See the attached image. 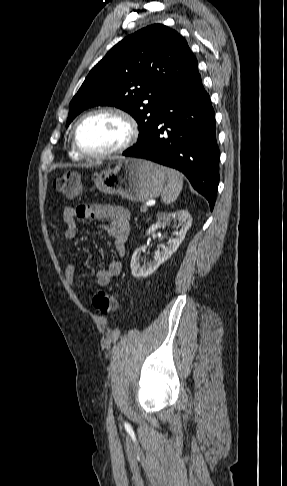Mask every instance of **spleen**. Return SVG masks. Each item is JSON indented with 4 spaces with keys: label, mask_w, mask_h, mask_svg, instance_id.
<instances>
[{
    "label": "spleen",
    "mask_w": 287,
    "mask_h": 486,
    "mask_svg": "<svg viewBox=\"0 0 287 486\" xmlns=\"http://www.w3.org/2000/svg\"><path fill=\"white\" fill-rule=\"evenodd\" d=\"M163 171L168 177V184L161 194V199L163 203L170 204L178 198L182 190L183 177L178 171L170 168L163 167Z\"/></svg>",
    "instance_id": "spleen-1"
}]
</instances>
